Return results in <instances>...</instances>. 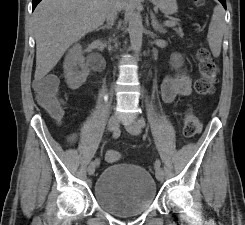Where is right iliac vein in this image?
<instances>
[{"label": "right iliac vein", "mask_w": 245, "mask_h": 225, "mask_svg": "<svg viewBox=\"0 0 245 225\" xmlns=\"http://www.w3.org/2000/svg\"><path fill=\"white\" fill-rule=\"evenodd\" d=\"M118 122H119L118 117L116 115H113L108 121V130L109 131H115L118 127ZM95 168H96V166H95L94 161H93L88 166V169H87L88 174L93 175L95 173Z\"/></svg>", "instance_id": "obj_1"}]
</instances>
